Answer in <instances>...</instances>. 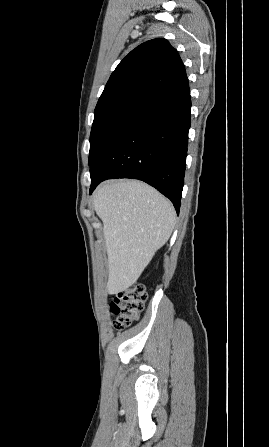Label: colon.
<instances>
[{"instance_id": "colon-1", "label": "colon", "mask_w": 269, "mask_h": 447, "mask_svg": "<svg viewBox=\"0 0 269 447\" xmlns=\"http://www.w3.org/2000/svg\"><path fill=\"white\" fill-rule=\"evenodd\" d=\"M145 289L142 285H133L116 293L110 303V311L115 317L116 329H124L134 324L144 308Z\"/></svg>"}]
</instances>
